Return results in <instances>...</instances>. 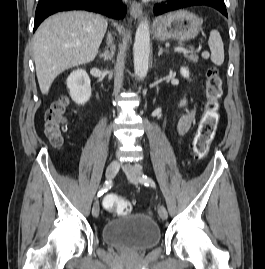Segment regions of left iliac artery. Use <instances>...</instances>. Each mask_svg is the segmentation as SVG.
<instances>
[{"instance_id":"left-iliac-artery-1","label":"left iliac artery","mask_w":265,"mask_h":269,"mask_svg":"<svg viewBox=\"0 0 265 269\" xmlns=\"http://www.w3.org/2000/svg\"><path fill=\"white\" fill-rule=\"evenodd\" d=\"M139 181L146 186H153L155 184L154 181L146 175H142V177L139 178Z\"/></svg>"}]
</instances>
